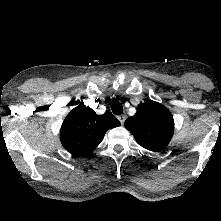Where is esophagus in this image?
Masks as SVG:
<instances>
[{
  "instance_id": "obj_1",
  "label": "esophagus",
  "mask_w": 221,
  "mask_h": 221,
  "mask_svg": "<svg viewBox=\"0 0 221 221\" xmlns=\"http://www.w3.org/2000/svg\"><path fill=\"white\" fill-rule=\"evenodd\" d=\"M118 120L121 122V124H124L125 120H126V115H120L118 116Z\"/></svg>"
}]
</instances>
